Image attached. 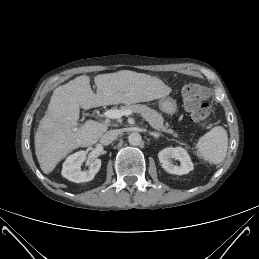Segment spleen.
Returning <instances> with one entry per match:
<instances>
[{
	"label": "spleen",
	"mask_w": 259,
	"mask_h": 259,
	"mask_svg": "<svg viewBox=\"0 0 259 259\" xmlns=\"http://www.w3.org/2000/svg\"><path fill=\"white\" fill-rule=\"evenodd\" d=\"M197 154L211 164L221 163L227 153L228 135L222 126H215L197 142Z\"/></svg>",
	"instance_id": "spleen-1"
}]
</instances>
